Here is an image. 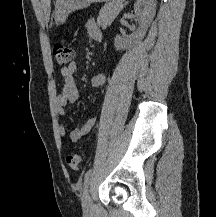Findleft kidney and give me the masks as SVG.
I'll use <instances>...</instances> for the list:
<instances>
[{
    "label": "left kidney",
    "instance_id": "obj_1",
    "mask_svg": "<svg viewBox=\"0 0 216 217\" xmlns=\"http://www.w3.org/2000/svg\"><path fill=\"white\" fill-rule=\"evenodd\" d=\"M134 12L140 27L131 37L123 38L116 35L114 43L116 50L132 48L144 38L156 13V0H137L134 5Z\"/></svg>",
    "mask_w": 216,
    "mask_h": 217
}]
</instances>
